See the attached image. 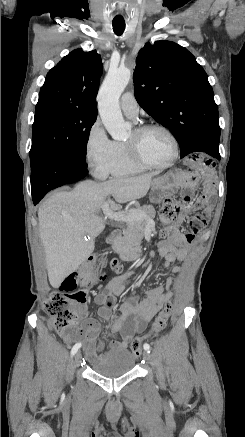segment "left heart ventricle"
<instances>
[{"instance_id": "obj_1", "label": "left heart ventricle", "mask_w": 245, "mask_h": 437, "mask_svg": "<svg viewBox=\"0 0 245 437\" xmlns=\"http://www.w3.org/2000/svg\"><path fill=\"white\" fill-rule=\"evenodd\" d=\"M126 142H133L140 156L148 162L165 163L173 155L170 139L159 130H149L140 135L131 131Z\"/></svg>"}]
</instances>
